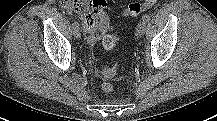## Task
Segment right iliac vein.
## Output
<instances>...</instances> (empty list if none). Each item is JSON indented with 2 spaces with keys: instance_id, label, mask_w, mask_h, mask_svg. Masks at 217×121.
Instances as JSON below:
<instances>
[{
  "instance_id": "63e3f726",
  "label": "right iliac vein",
  "mask_w": 217,
  "mask_h": 121,
  "mask_svg": "<svg viewBox=\"0 0 217 121\" xmlns=\"http://www.w3.org/2000/svg\"><path fill=\"white\" fill-rule=\"evenodd\" d=\"M73 35H74L75 38H80V37H81V34H80L78 28H75V29H74Z\"/></svg>"
}]
</instances>
